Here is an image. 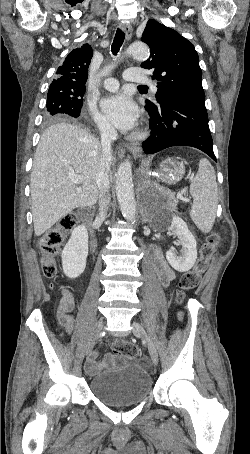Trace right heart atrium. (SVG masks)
I'll return each mask as SVG.
<instances>
[{
	"mask_svg": "<svg viewBox=\"0 0 250 454\" xmlns=\"http://www.w3.org/2000/svg\"><path fill=\"white\" fill-rule=\"evenodd\" d=\"M88 113L92 120L94 121L95 125L101 131L107 132L111 130L109 122L93 106H89Z\"/></svg>",
	"mask_w": 250,
	"mask_h": 454,
	"instance_id": "d8ad5b80",
	"label": "right heart atrium"
}]
</instances>
